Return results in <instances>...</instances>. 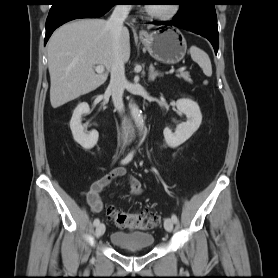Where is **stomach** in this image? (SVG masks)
<instances>
[{
  "instance_id": "1",
  "label": "stomach",
  "mask_w": 278,
  "mask_h": 278,
  "mask_svg": "<svg viewBox=\"0 0 278 278\" xmlns=\"http://www.w3.org/2000/svg\"><path fill=\"white\" fill-rule=\"evenodd\" d=\"M149 54L162 63L176 64L181 61L187 50L182 33L176 29L154 31L139 37Z\"/></svg>"
}]
</instances>
